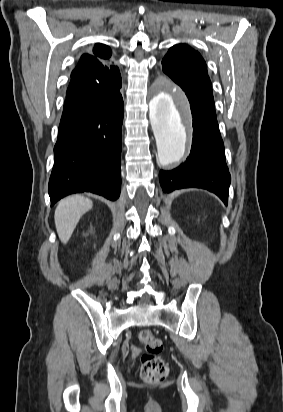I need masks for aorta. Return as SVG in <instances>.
<instances>
[{
    "instance_id": "762f6f07",
    "label": "aorta",
    "mask_w": 283,
    "mask_h": 412,
    "mask_svg": "<svg viewBox=\"0 0 283 412\" xmlns=\"http://www.w3.org/2000/svg\"><path fill=\"white\" fill-rule=\"evenodd\" d=\"M149 116L162 166L178 162L185 154L190 113L184 94L161 86L149 102Z\"/></svg>"
}]
</instances>
